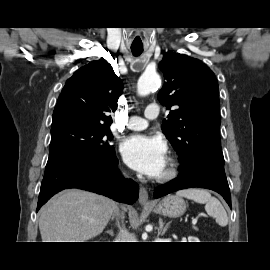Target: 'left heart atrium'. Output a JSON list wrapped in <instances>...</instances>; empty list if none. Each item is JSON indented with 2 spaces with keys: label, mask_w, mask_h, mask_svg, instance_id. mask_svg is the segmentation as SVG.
I'll use <instances>...</instances> for the list:
<instances>
[{
  "label": "left heart atrium",
  "mask_w": 270,
  "mask_h": 270,
  "mask_svg": "<svg viewBox=\"0 0 270 270\" xmlns=\"http://www.w3.org/2000/svg\"><path fill=\"white\" fill-rule=\"evenodd\" d=\"M120 152L132 169L149 177H158L166 167L167 146L159 137L130 136L121 143Z\"/></svg>",
  "instance_id": "1"
}]
</instances>
